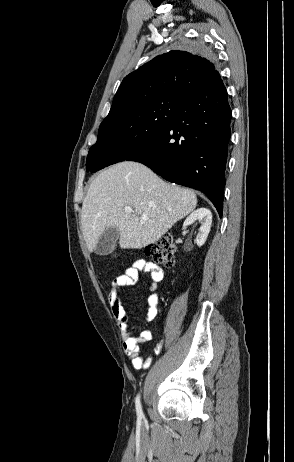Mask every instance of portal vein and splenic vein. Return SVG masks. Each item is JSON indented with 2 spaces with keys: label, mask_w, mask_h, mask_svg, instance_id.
Wrapping results in <instances>:
<instances>
[{
  "label": "portal vein and splenic vein",
  "mask_w": 294,
  "mask_h": 462,
  "mask_svg": "<svg viewBox=\"0 0 294 462\" xmlns=\"http://www.w3.org/2000/svg\"><path fill=\"white\" fill-rule=\"evenodd\" d=\"M125 211L128 212V213H132V212H133V209L130 208V207H127V208H125ZM141 218H142L143 220H146V219H147V216H146V215H142Z\"/></svg>",
  "instance_id": "18ae733b"
}]
</instances>
